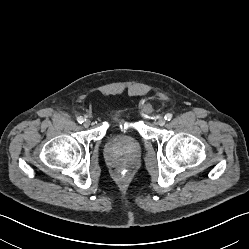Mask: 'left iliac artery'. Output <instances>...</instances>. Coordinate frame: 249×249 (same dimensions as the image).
Here are the masks:
<instances>
[{
  "mask_svg": "<svg viewBox=\"0 0 249 249\" xmlns=\"http://www.w3.org/2000/svg\"><path fill=\"white\" fill-rule=\"evenodd\" d=\"M164 118L165 120L170 121L172 119V114L167 113Z\"/></svg>",
  "mask_w": 249,
  "mask_h": 249,
  "instance_id": "obj_1",
  "label": "left iliac artery"
}]
</instances>
